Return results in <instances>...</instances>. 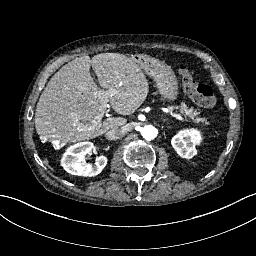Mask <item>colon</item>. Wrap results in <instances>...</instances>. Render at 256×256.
Here are the masks:
<instances>
[{"label":"colon","instance_id":"obj_1","mask_svg":"<svg viewBox=\"0 0 256 256\" xmlns=\"http://www.w3.org/2000/svg\"><path fill=\"white\" fill-rule=\"evenodd\" d=\"M180 78L183 91L189 95L194 102L204 108H211L216 102L214 89L208 84L198 85L196 83V75L194 71L182 66L180 69Z\"/></svg>","mask_w":256,"mask_h":256}]
</instances>
